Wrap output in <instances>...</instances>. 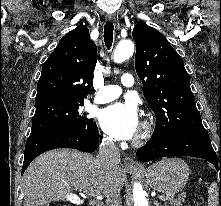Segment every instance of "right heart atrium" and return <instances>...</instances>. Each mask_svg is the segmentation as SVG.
Instances as JSON below:
<instances>
[{"label":"right heart atrium","instance_id":"1","mask_svg":"<svg viewBox=\"0 0 221 206\" xmlns=\"http://www.w3.org/2000/svg\"><path fill=\"white\" fill-rule=\"evenodd\" d=\"M102 140L106 144L112 143V138L110 136H108V135H103Z\"/></svg>","mask_w":221,"mask_h":206}]
</instances>
